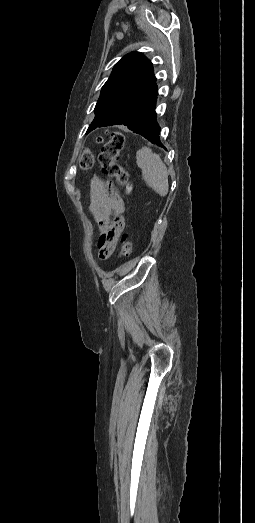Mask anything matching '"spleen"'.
<instances>
[{"instance_id":"obj_1","label":"spleen","mask_w":255,"mask_h":523,"mask_svg":"<svg viewBox=\"0 0 255 523\" xmlns=\"http://www.w3.org/2000/svg\"><path fill=\"white\" fill-rule=\"evenodd\" d=\"M136 164L141 168L143 178L156 194L166 196L168 194V174L158 154H153L150 148H142L136 152Z\"/></svg>"}]
</instances>
